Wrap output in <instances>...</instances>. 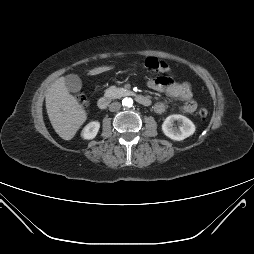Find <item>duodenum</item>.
<instances>
[{"mask_svg":"<svg viewBox=\"0 0 254 254\" xmlns=\"http://www.w3.org/2000/svg\"><path fill=\"white\" fill-rule=\"evenodd\" d=\"M133 97L137 100V102L143 106H149L151 104V100L149 97L142 95V94H132ZM111 99L108 96H102L99 98L97 105L99 109L104 110L108 107Z\"/></svg>","mask_w":254,"mask_h":254,"instance_id":"410a0bca","label":"duodenum"}]
</instances>
